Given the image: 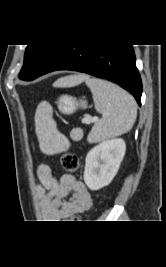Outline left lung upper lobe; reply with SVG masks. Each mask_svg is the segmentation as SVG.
Listing matches in <instances>:
<instances>
[{
	"instance_id": "left-lung-upper-lobe-1",
	"label": "left lung upper lobe",
	"mask_w": 166,
	"mask_h": 267,
	"mask_svg": "<svg viewBox=\"0 0 166 267\" xmlns=\"http://www.w3.org/2000/svg\"><path fill=\"white\" fill-rule=\"evenodd\" d=\"M61 45H27L24 65L18 75L22 80L36 79Z\"/></svg>"
}]
</instances>
